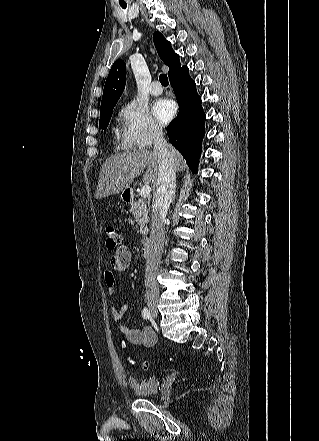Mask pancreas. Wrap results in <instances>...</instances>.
<instances>
[{
	"mask_svg": "<svg viewBox=\"0 0 319 441\" xmlns=\"http://www.w3.org/2000/svg\"><path fill=\"white\" fill-rule=\"evenodd\" d=\"M130 212L132 213L134 219L140 226V233L144 236L147 235L149 231L148 229L149 217L147 215L148 211L144 200L138 199L136 202H134L131 205Z\"/></svg>",
	"mask_w": 319,
	"mask_h": 441,
	"instance_id": "cf45deb5",
	"label": "pancreas"
}]
</instances>
